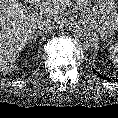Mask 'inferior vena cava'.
Wrapping results in <instances>:
<instances>
[{"instance_id": "1", "label": "inferior vena cava", "mask_w": 118, "mask_h": 118, "mask_svg": "<svg viewBox=\"0 0 118 118\" xmlns=\"http://www.w3.org/2000/svg\"><path fill=\"white\" fill-rule=\"evenodd\" d=\"M59 24L52 18L45 17L38 21V28L42 34L57 28Z\"/></svg>"}]
</instances>
